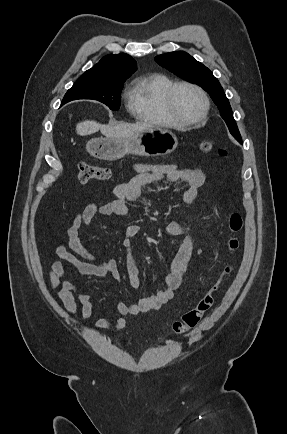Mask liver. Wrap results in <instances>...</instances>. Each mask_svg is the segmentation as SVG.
<instances>
[{
	"mask_svg": "<svg viewBox=\"0 0 287 434\" xmlns=\"http://www.w3.org/2000/svg\"><path fill=\"white\" fill-rule=\"evenodd\" d=\"M150 127L152 126L142 122H138L136 124L122 123L111 126L102 125L96 121L86 120L77 124L76 132L80 136H86L96 133L100 130L101 133L107 138H128Z\"/></svg>",
	"mask_w": 287,
	"mask_h": 434,
	"instance_id": "liver-1",
	"label": "liver"
}]
</instances>
